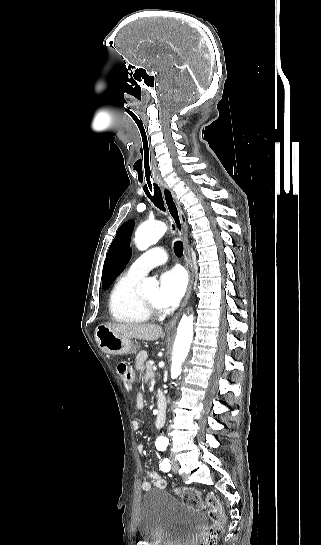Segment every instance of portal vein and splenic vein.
Returning a JSON list of instances; mask_svg holds the SVG:
<instances>
[{"label":"portal vein and splenic vein","mask_w":321,"mask_h":545,"mask_svg":"<svg viewBox=\"0 0 321 545\" xmlns=\"http://www.w3.org/2000/svg\"><path fill=\"white\" fill-rule=\"evenodd\" d=\"M154 371H157L156 365H153Z\"/></svg>","instance_id":"1"}]
</instances>
